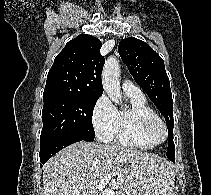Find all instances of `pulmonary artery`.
<instances>
[{
	"label": "pulmonary artery",
	"instance_id": "e3ab8cb5",
	"mask_svg": "<svg viewBox=\"0 0 211 195\" xmlns=\"http://www.w3.org/2000/svg\"><path fill=\"white\" fill-rule=\"evenodd\" d=\"M122 89L125 94L130 95H142L141 89L136 86L133 82L130 80H124L122 84Z\"/></svg>",
	"mask_w": 211,
	"mask_h": 195
}]
</instances>
